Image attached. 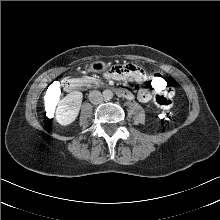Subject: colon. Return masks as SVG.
Returning <instances> with one entry per match:
<instances>
[{
    "label": "colon",
    "mask_w": 220,
    "mask_h": 220,
    "mask_svg": "<svg viewBox=\"0 0 220 220\" xmlns=\"http://www.w3.org/2000/svg\"><path fill=\"white\" fill-rule=\"evenodd\" d=\"M127 75H129V73ZM168 85H169L168 77L162 73L153 72V75L149 78V81H148L149 89L155 93H160V92L165 91L168 88ZM58 97H59V88L58 86H53L52 89L48 93V99L50 101H53ZM155 103L164 110L167 118L169 120H172L171 99L164 97V96H156Z\"/></svg>",
    "instance_id": "1"
}]
</instances>
